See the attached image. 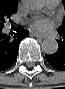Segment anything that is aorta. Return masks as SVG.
Here are the masks:
<instances>
[{
  "label": "aorta",
  "instance_id": "762f6f07",
  "mask_svg": "<svg viewBox=\"0 0 65 89\" xmlns=\"http://www.w3.org/2000/svg\"><path fill=\"white\" fill-rule=\"evenodd\" d=\"M28 6L32 11H39L44 7L43 0H30ZM42 50L46 54H54L58 50V43L54 38H46L42 42Z\"/></svg>",
  "mask_w": 65,
  "mask_h": 89
}]
</instances>
